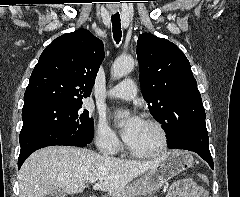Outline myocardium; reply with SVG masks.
<instances>
[{"label":"myocardium","mask_w":240,"mask_h":197,"mask_svg":"<svg viewBox=\"0 0 240 197\" xmlns=\"http://www.w3.org/2000/svg\"><path fill=\"white\" fill-rule=\"evenodd\" d=\"M144 122L152 125L158 132L159 144L158 146L150 151H139L131 148L128 144L126 145L127 152L136 158H152L162 154L168 146V134L164 125L157 119L147 117Z\"/></svg>","instance_id":"f54148a6"}]
</instances>
